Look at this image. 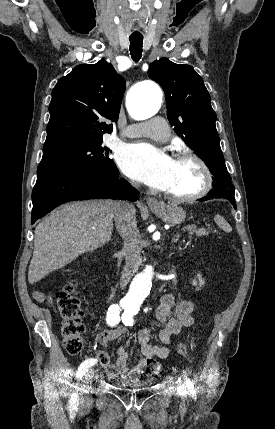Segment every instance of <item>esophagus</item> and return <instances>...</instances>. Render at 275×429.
<instances>
[{
	"label": "esophagus",
	"mask_w": 275,
	"mask_h": 429,
	"mask_svg": "<svg viewBox=\"0 0 275 429\" xmlns=\"http://www.w3.org/2000/svg\"><path fill=\"white\" fill-rule=\"evenodd\" d=\"M146 203L149 207H160V203L158 202V200L153 197H148L146 199Z\"/></svg>",
	"instance_id": "34e87169"
}]
</instances>
